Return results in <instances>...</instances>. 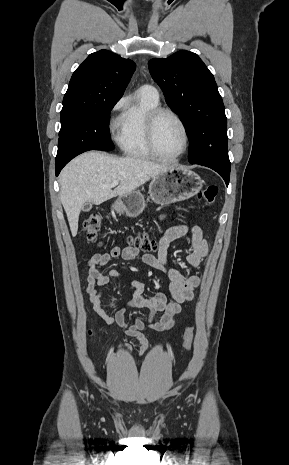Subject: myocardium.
Masks as SVG:
<instances>
[{"label": "myocardium", "mask_w": 289, "mask_h": 465, "mask_svg": "<svg viewBox=\"0 0 289 465\" xmlns=\"http://www.w3.org/2000/svg\"><path fill=\"white\" fill-rule=\"evenodd\" d=\"M165 114L170 115L174 119H176V121L180 124V126H181V128L183 130L184 139H185L184 147H183L182 151L180 153H178L177 155L172 156V157L165 156L159 151L158 146H157V140H156L158 121L161 118V116H163ZM146 140H147V144H148V147H149L151 153L155 157H157L158 159H160L162 161H168V162L169 161H176V160L180 159L188 151L189 146H190V133H189V130H188V127H187L186 123L184 122L182 117L177 112H175L174 110H172L170 108H167V107H159L158 106V107L152 109L149 112L148 116H147V119H146Z\"/></svg>", "instance_id": "1"}]
</instances>
